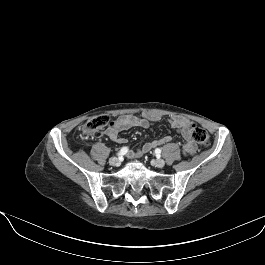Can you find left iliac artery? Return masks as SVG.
<instances>
[{"label":"left iliac artery","instance_id":"44dca946","mask_svg":"<svg viewBox=\"0 0 265 265\" xmlns=\"http://www.w3.org/2000/svg\"><path fill=\"white\" fill-rule=\"evenodd\" d=\"M155 154H156L157 156H160V154H161V149L157 148V149L155 150Z\"/></svg>","mask_w":265,"mask_h":265}]
</instances>
